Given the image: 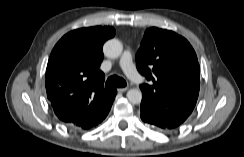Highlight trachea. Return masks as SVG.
Returning <instances> with one entry per match:
<instances>
[{
	"label": "trachea",
	"mask_w": 244,
	"mask_h": 157,
	"mask_svg": "<svg viewBox=\"0 0 244 157\" xmlns=\"http://www.w3.org/2000/svg\"><path fill=\"white\" fill-rule=\"evenodd\" d=\"M125 86H126V81L117 75L110 76L105 83L106 88L125 87Z\"/></svg>",
	"instance_id": "1"
}]
</instances>
